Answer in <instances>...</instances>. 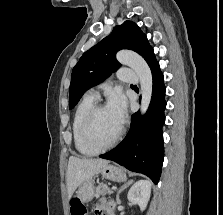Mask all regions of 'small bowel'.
Masks as SVG:
<instances>
[{
    "label": "small bowel",
    "mask_w": 223,
    "mask_h": 215,
    "mask_svg": "<svg viewBox=\"0 0 223 215\" xmlns=\"http://www.w3.org/2000/svg\"><path fill=\"white\" fill-rule=\"evenodd\" d=\"M95 212L97 215H113L111 208L105 204L97 206Z\"/></svg>",
    "instance_id": "1"
}]
</instances>
